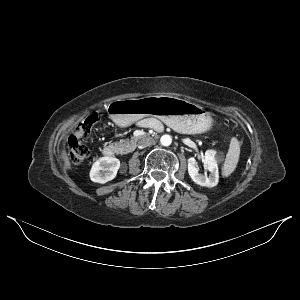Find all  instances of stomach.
<instances>
[{"label":"stomach","instance_id":"stomach-1","mask_svg":"<svg viewBox=\"0 0 300 300\" xmlns=\"http://www.w3.org/2000/svg\"><path fill=\"white\" fill-rule=\"evenodd\" d=\"M107 112L119 126L126 127L144 117L153 116L182 133L209 131L214 120L209 112L189 101L168 95L112 101Z\"/></svg>","mask_w":300,"mask_h":300}]
</instances>
